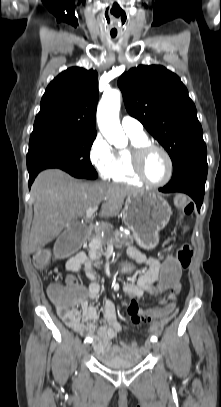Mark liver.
I'll use <instances>...</instances> for the list:
<instances>
[{"instance_id": "1", "label": "liver", "mask_w": 221, "mask_h": 407, "mask_svg": "<svg viewBox=\"0 0 221 407\" xmlns=\"http://www.w3.org/2000/svg\"><path fill=\"white\" fill-rule=\"evenodd\" d=\"M34 218L29 251L39 252L64 228L103 202L100 216H117L125 197L141 190L128 185L106 182L82 183L64 171L48 169L39 173L32 185Z\"/></svg>"}]
</instances>
